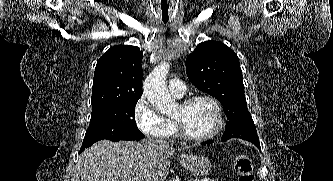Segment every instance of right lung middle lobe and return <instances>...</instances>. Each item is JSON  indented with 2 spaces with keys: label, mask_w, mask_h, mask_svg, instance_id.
<instances>
[{
  "label": "right lung middle lobe",
  "mask_w": 333,
  "mask_h": 181,
  "mask_svg": "<svg viewBox=\"0 0 333 181\" xmlns=\"http://www.w3.org/2000/svg\"><path fill=\"white\" fill-rule=\"evenodd\" d=\"M138 99L119 101L92 108L89 127L82 146L102 139L111 141L138 140L144 137L135 122V106Z\"/></svg>",
  "instance_id": "1"
}]
</instances>
